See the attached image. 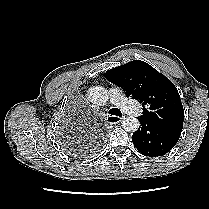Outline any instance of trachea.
Wrapping results in <instances>:
<instances>
[{
  "mask_svg": "<svg viewBox=\"0 0 209 209\" xmlns=\"http://www.w3.org/2000/svg\"><path fill=\"white\" fill-rule=\"evenodd\" d=\"M109 114L115 115V116H122L121 111L118 108H112L109 110Z\"/></svg>",
  "mask_w": 209,
  "mask_h": 209,
  "instance_id": "1",
  "label": "trachea"
}]
</instances>
